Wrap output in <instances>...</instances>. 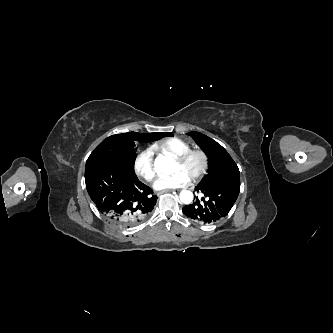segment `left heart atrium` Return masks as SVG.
I'll use <instances>...</instances> for the list:
<instances>
[{
    "label": "left heart atrium",
    "mask_w": 333,
    "mask_h": 333,
    "mask_svg": "<svg viewBox=\"0 0 333 333\" xmlns=\"http://www.w3.org/2000/svg\"><path fill=\"white\" fill-rule=\"evenodd\" d=\"M190 181V177L183 171H176L174 174L161 177L154 183V188L156 190H167L183 187L187 185Z\"/></svg>",
    "instance_id": "1"
}]
</instances>
